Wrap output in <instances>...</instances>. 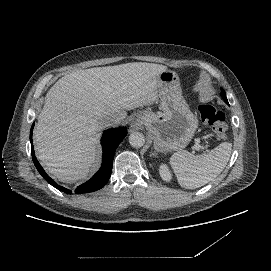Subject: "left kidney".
<instances>
[{"instance_id":"left-kidney-1","label":"left kidney","mask_w":271,"mask_h":271,"mask_svg":"<svg viewBox=\"0 0 271 271\" xmlns=\"http://www.w3.org/2000/svg\"><path fill=\"white\" fill-rule=\"evenodd\" d=\"M159 173H160L161 178L166 182H170V180L172 179V175H171L167 165H165V164L160 165Z\"/></svg>"}]
</instances>
